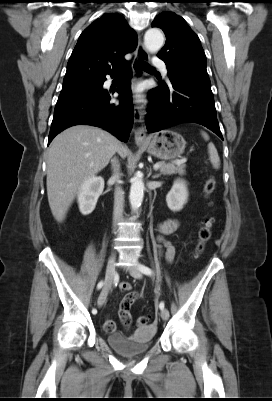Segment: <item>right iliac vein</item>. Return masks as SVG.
I'll use <instances>...</instances> for the list:
<instances>
[{"mask_svg": "<svg viewBox=\"0 0 272 401\" xmlns=\"http://www.w3.org/2000/svg\"><path fill=\"white\" fill-rule=\"evenodd\" d=\"M115 255L112 254L108 260L107 267H106V274H105V283L104 287L102 289V292L100 294L99 300H98V305L101 306L107 295L108 292L112 286L113 278H114V273H115Z\"/></svg>", "mask_w": 272, "mask_h": 401, "instance_id": "right-iliac-vein-1", "label": "right iliac vein"}]
</instances>
